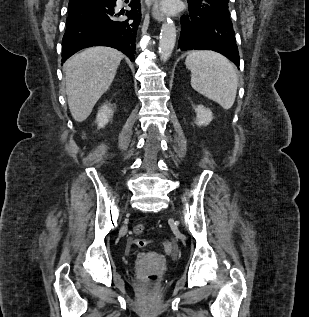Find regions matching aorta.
Listing matches in <instances>:
<instances>
[{
  "label": "aorta",
  "mask_w": 309,
  "mask_h": 317,
  "mask_svg": "<svg viewBox=\"0 0 309 317\" xmlns=\"http://www.w3.org/2000/svg\"><path fill=\"white\" fill-rule=\"evenodd\" d=\"M176 42V26L173 20L167 19L161 27L159 54L162 61L171 56Z\"/></svg>",
  "instance_id": "obj_1"
}]
</instances>
